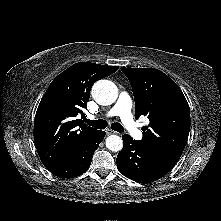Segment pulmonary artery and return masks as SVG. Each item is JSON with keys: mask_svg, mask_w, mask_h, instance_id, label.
Segmentation results:
<instances>
[{"mask_svg": "<svg viewBox=\"0 0 221 221\" xmlns=\"http://www.w3.org/2000/svg\"><path fill=\"white\" fill-rule=\"evenodd\" d=\"M132 100L130 96L122 92L115 105L107 112V117L119 116L124 128L130 133V135L139 140L142 137V131L138 124L135 122L132 112ZM90 118H94L93 116Z\"/></svg>", "mask_w": 221, "mask_h": 221, "instance_id": "pulmonary-artery-1", "label": "pulmonary artery"}]
</instances>
